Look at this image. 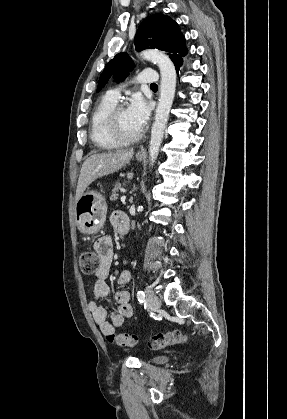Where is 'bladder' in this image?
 <instances>
[{
  "label": "bladder",
  "mask_w": 287,
  "mask_h": 419,
  "mask_svg": "<svg viewBox=\"0 0 287 419\" xmlns=\"http://www.w3.org/2000/svg\"><path fill=\"white\" fill-rule=\"evenodd\" d=\"M168 360V358L166 357V356H155L154 358H153V361L155 362V363H164V362H166Z\"/></svg>",
  "instance_id": "bladder-1"
}]
</instances>
